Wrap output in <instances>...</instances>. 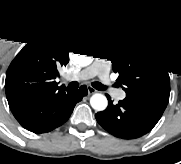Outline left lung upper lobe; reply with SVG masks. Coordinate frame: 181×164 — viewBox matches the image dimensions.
I'll use <instances>...</instances> for the list:
<instances>
[{
  "instance_id": "1",
  "label": "left lung upper lobe",
  "mask_w": 181,
  "mask_h": 164,
  "mask_svg": "<svg viewBox=\"0 0 181 164\" xmlns=\"http://www.w3.org/2000/svg\"><path fill=\"white\" fill-rule=\"evenodd\" d=\"M92 47L106 55L119 76L126 98L165 109L169 102L170 78L157 53L142 40L114 30L96 32Z\"/></svg>"
}]
</instances>
